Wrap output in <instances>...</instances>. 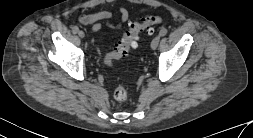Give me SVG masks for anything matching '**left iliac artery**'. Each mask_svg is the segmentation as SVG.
<instances>
[{
    "label": "left iliac artery",
    "mask_w": 253,
    "mask_h": 138,
    "mask_svg": "<svg viewBox=\"0 0 253 138\" xmlns=\"http://www.w3.org/2000/svg\"><path fill=\"white\" fill-rule=\"evenodd\" d=\"M167 34V29L166 28H162L159 32V36H165Z\"/></svg>",
    "instance_id": "left-iliac-artery-1"
}]
</instances>
